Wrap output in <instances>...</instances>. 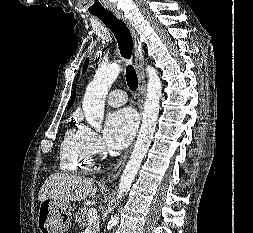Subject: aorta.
I'll return each mask as SVG.
<instances>
[{
	"label": "aorta",
	"mask_w": 253,
	"mask_h": 233,
	"mask_svg": "<svg viewBox=\"0 0 253 233\" xmlns=\"http://www.w3.org/2000/svg\"><path fill=\"white\" fill-rule=\"evenodd\" d=\"M121 70L122 67L118 63L99 68L86 88L82 102L83 112L89 125L96 131H101L104 118L105 97ZM146 73L148 76V84L142 124L134 149L120 178L117 200H121L124 194L130 189L142 160L149 150L156 129L162 85L158 72L154 67L147 66ZM117 223L118 216L115 214L111 216L107 229L110 230Z\"/></svg>",
	"instance_id": "1"
}]
</instances>
